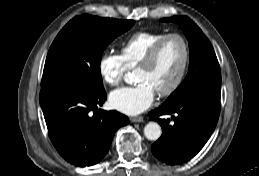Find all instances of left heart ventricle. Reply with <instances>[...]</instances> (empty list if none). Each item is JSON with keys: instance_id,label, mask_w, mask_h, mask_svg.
Masks as SVG:
<instances>
[{"instance_id": "obj_1", "label": "left heart ventricle", "mask_w": 259, "mask_h": 176, "mask_svg": "<svg viewBox=\"0 0 259 176\" xmlns=\"http://www.w3.org/2000/svg\"><path fill=\"white\" fill-rule=\"evenodd\" d=\"M183 61V47L179 40H167L155 62L146 68H138L135 71V79L138 82L149 83L155 91L166 88L176 78Z\"/></svg>"}]
</instances>
